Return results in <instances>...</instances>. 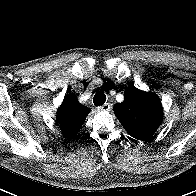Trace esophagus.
<instances>
[{
  "label": "esophagus",
  "mask_w": 196,
  "mask_h": 196,
  "mask_svg": "<svg viewBox=\"0 0 196 196\" xmlns=\"http://www.w3.org/2000/svg\"><path fill=\"white\" fill-rule=\"evenodd\" d=\"M97 108L101 109V110H105V109L107 110L110 108V105H109V103H105L103 105L97 106Z\"/></svg>",
  "instance_id": "34e87169"
}]
</instances>
